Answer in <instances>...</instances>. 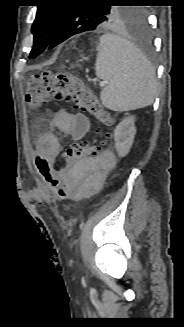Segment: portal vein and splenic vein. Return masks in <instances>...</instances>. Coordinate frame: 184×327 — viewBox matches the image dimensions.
Returning <instances> with one entry per match:
<instances>
[{
    "instance_id": "portal-vein-and-splenic-vein-1",
    "label": "portal vein and splenic vein",
    "mask_w": 184,
    "mask_h": 327,
    "mask_svg": "<svg viewBox=\"0 0 184 327\" xmlns=\"http://www.w3.org/2000/svg\"><path fill=\"white\" fill-rule=\"evenodd\" d=\"M100 86L104 87L105 86V82H100Z\"/></svg>"
}]
</instances>
